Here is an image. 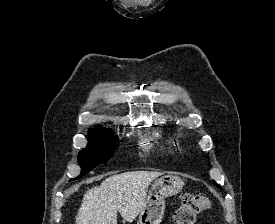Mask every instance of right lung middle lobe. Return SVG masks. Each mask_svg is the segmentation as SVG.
I'll return each mask as SVG.
<instances>
[{"instance_id":"obj_1","label":"right lung middle lobe","mask_w":275,"mask_h":224,"mask_svg":"<svg viewBox=\"0 0 275 224\" xmlns=\"http://www.w3.org/2000/svg\"><path fill=\"white\" fill-rule=\"evenodd\" d=\"M116 142L117 138L110 135L107 130L91 129L89 131V143L78 155L81 173L73 180L82 177L97 165L108 161L114 153Z\"/></svg>"}]
</instances>
